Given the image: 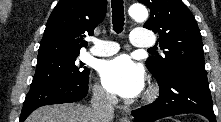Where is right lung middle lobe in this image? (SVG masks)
<instances>
[{
  "instance_id": "dd1d6c3e",
  "label": "right lung middle lobe",
  "mask_w": 221,
  "mask_h": 122,
  "mask_svg": "<svg viewBox=\"0 0 221 122\" xmlns=\"http://www.w3.org/2000/svg\"><path fill=\"white\" fill-rule=\"evenodd\" d=\"M78 55H59L38 59L31 87L86 80L90 71L77 61Z\"/></svg>"
}]
</instances>
